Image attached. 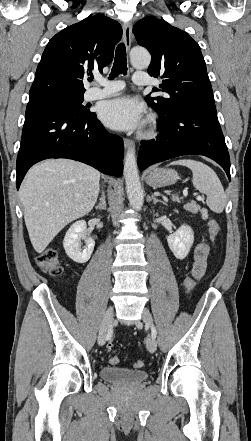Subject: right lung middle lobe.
Here are the masks:
<instances>
[{"instance_id":"right-lung-middle-lobe-1","label":"right lung middle lobe","mask_w":251,"mask_h":441,"mask_svg":"<svg viewBox=\"0 0 251 441\" xmlns=\"http://www.w3.org/2000/svg\"><path fill=\"white\" fill-rule=\"evenodd\" d=\"M83 94L80 95H70V94H60L50 96L43 100L37 101V103L46 104L49 106L60 108L69 113H73L79 116H87L90 111L87 107L82 105Z\"/></svg>"}]
</instances>
